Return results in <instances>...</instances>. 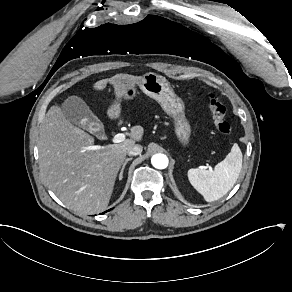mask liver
I'll return each instance as SVG.
<instances>
[{"mask_svg":"<svg viewBox=\"0 0 292 292\" xmlns=\"http://www.w3.org/2000/svg\"><path fill=\"white\" fill-rule=\"evenodd\" d=\"M130 83L140 79L128 74H116L112 78L95 83L96 89H104L108 81L120 98L124 91L118 86L120 79ZM143 127L134 126L126 139L119 144L94 147V138L74 126L58 106H52L40 127L38 142L39 165L48 187L75 212L97 214L109 203L117 173L123 164L127 150L140 141Z\"/></svg>","mask_w":292,"mask_h":292,"instance_id":"obj_1","label":"liver"}]
</instances>
